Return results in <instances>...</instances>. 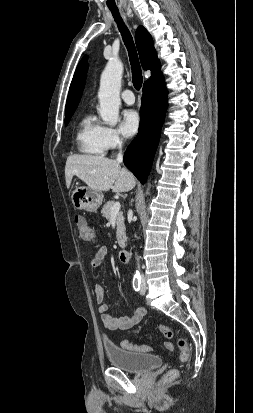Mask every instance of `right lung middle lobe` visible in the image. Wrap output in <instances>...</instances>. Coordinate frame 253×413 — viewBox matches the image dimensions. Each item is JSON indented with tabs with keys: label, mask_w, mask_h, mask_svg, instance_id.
Returning a JSON list of instances; mask_svg holds the SVG:
<instances>
[{
	"label": "right lung middle lobe",
	"mask_w": 253,
	"mask_h": 413,
	"mask_svg": "<svg viewBox=\"0 0 253 413\" xmlns=\"http://www.w3.org/2000/svg\"><path fill=\"white\" fill-rule=\"evenodd\" d=\"M71 116H72V115L65 116V125H66V126H67V124L69 123Z\"/></svg>",
	"instance_id": "1"
}]
</instances>
